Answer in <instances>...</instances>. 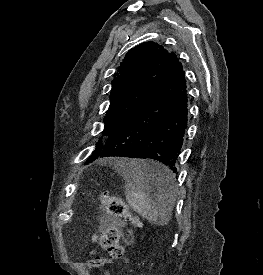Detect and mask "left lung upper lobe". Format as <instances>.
<instances>
[{
    "instance_id": "left-lung-upper-lobe-1",
    "label": "left lung upper lobe",
    "mask_w": 263,
    "mask_h": 275,
    "mask_svg": "<svg viewBox=\"0 0 263 275\" xmlns=\"http://www.w3.org/2000/svg\"><path fill=\"white\" fill-rule=\"evenodd\" d=\"M162 45L144 42L130 49L112 81L110 105L104 117L105 138L116 133L160 82L175 59ZM103 147L100 139L85 164L91 162Z\"/></svg>"
}]
</instances>
